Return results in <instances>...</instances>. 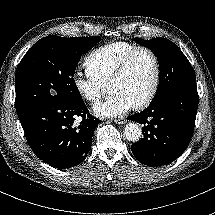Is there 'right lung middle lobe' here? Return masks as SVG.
<instances>
[{"label": "right lung middle lobe", "instance_id": "right-lung-middle-lobe-1", "mask_svg": "<svg viewBox=\"0 0 215 215\" xmlns=\"http://www.w3.org/2000/svg\"><path fill=\"white\" fill-rule=\"evenodd\" d=\"M101 40L99 37L40 39L24 55L15 75L16 111L45 99L81 102L74 72L81 55Z\"/></svg>", "mask_w": 215, "mask_h": 215}]
</instances>
